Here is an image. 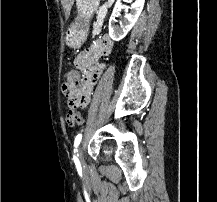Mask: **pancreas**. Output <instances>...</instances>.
Wrapping results in <instances>:
<instances>
[{
    "mask_svg": "<svg viewBox=\"0 0 217 202\" xmlns=\"http://www.w3.org/2000/svg\"><path fill=\"white\" fill-rule=\"evenodd\" d=\"M102 31L101 30H93V37H96V35H101Z\"/></svg>",
    "mask_w": 217,
    "mask_h": 202,
    "instance_id": "1",
    "label": "pancreas"
}]
</instances>
